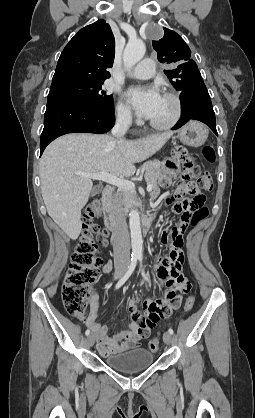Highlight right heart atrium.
<instances>
[{
	"mask_svg": "<svg viewBox=\"0 0 255 418\" xmlns=\"http://www.w3.org/2000/svg\"><path fill=\"white\" fill-rule=\"evenodd\" d=\"M115 111H116V119L120 124L129 126L133 123L132 111L130 107L122 100L118 101Z\"/></svg>",
	"mask_w": 255,
	"mask_h": 418,
	"instance_id": "1",
	"label": "right heart atrium"
}]
</instances>
